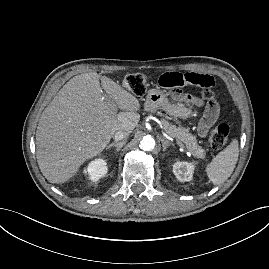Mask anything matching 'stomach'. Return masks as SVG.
I'll return each instance as SVG.
<instances>
[{
	"mask_svg": "<svg viewBox=\"0 0 269 269\" xmlns=\"http://www.w3.org/2000/svg\"><path fill=\"white\" fill-rule=\"evenodd\" d=\"M146 111L154 112L164 110L169 116L186 119L193 116V110L180 103L171 102L167 95L160 89H150L144 104Z\"/></svg>",
	"mask_w": 269,
	"mask_h": 269,
	"instance_id": "1",
	"label": "stomach"
}]
</instances>
